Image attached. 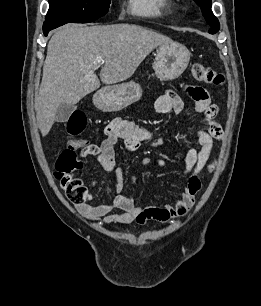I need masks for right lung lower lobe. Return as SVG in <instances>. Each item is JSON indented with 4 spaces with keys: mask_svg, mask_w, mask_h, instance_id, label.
<instances>
[{
    "mask_svg": "<svg viewBox=\"0 0 261 306\" xmlns=\"http://www.w3.org/2000/svg\"><path fill=\"white\" fill-rule=\"evenodd\" d=\"M64 24H66V22H46L45 21L43 24L44 35L47 36L50 30L55 29Z\"/></svg>",
    "mask_w": 261,
    "mask_h": 306,
    "instance_id": "obj_1",
    "label": "right lung lower lobe"
}]
</instances>
